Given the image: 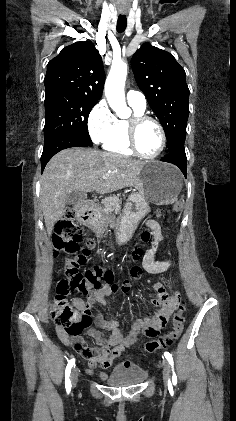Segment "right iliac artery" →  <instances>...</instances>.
<instances>
[{
	"instance_id": "1",
	"label": "right iliac artery",
	"mask_w": 236,
	"mask_h": 421,
	"mask_svg": "<svg viewBox=\"0 0 236 421\" xmlns=\"http://www.w3.org/2000/svg\"><path fill=\"white\" fill-rule=\"evenodd\" d=\"M75 365V359H71L68 361L66 370H65V388L67 392H70L71 390V381H70V373H71V368Z\"/></svg>"
}]
</instances>
